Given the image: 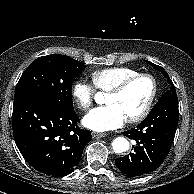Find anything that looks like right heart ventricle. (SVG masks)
Returning <instances> with one entry per match:
<instances>
[{
  "mask_svg": "<svg viewBox=\"0 0 194 194\" xmlns=\"http://www.w3.org/2000/svg\"><path fill=\"white\" fill-rule=\"evenodd\" d=\"M137 73L136 70L127 67H110L92 72L91 79L97 90L108 92L123 79Z\"/></svg>",
  "mask_w": 194,
  "mask_h": 194,
  "instance_id": "right-heart-ventricle-1",
  "label": "right heart ventricle"
}]
</instances>
